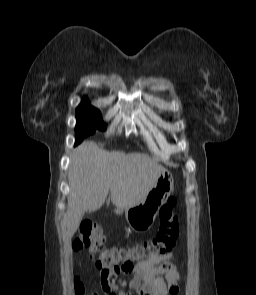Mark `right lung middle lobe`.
Returning <instances> with one entry per match:
<instances>
[{"label": "right lung middle lobe", "mask_w": 256, "mask_h": 295, "mask_svg": "<svg viewBox=\"0 0 256 295\" xmlns=\"http://www.w3.org/2000/svg\"><path fill=\"white\" fill-rule=\"evenodd\" d=\"M76 118V144L80 143L85 137L94 134L96 129L106 130V124L103 123L99 110L92 107L88 101H82L77 107Z\"/></svg>", "instance_id": "1"}]
</instances>
